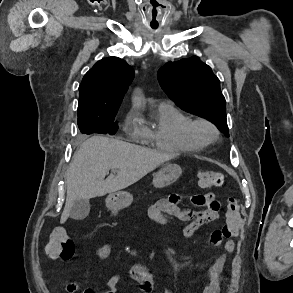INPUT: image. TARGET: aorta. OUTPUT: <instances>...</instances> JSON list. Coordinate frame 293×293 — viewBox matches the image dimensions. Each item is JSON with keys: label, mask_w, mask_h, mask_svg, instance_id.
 <instances>
[{"label": "aorta", "mask_w": 293, "mask_h": 293, "mask_svg": "<svg viewBox=\"0 0 293 293\" xmlns=\"http://www.w3.org/2000/svg\"><path fill=\"white\" fill-rule=\"evenodd\" d=\"M135 101L138 106L142 105V99L140 97H137Z\"/></svg>", "instance_id": "1"}]
</instances>
